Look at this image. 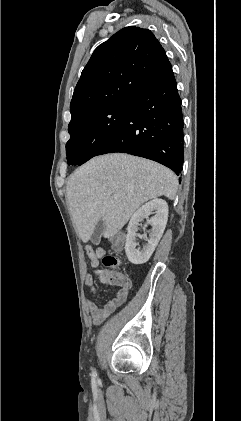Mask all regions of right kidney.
<instances>
[{
    "instance_id": "1",
    "label": "right kidney",
    "mask_w": 241,
    "mask_h": 421,
    "mask_svg": "<svg viewBox=\"0 0 241 421\" xmlns=\"http://www.w3.org/2000/svg\"><path fill=\"white\" fill-rule=\"evenodd\" d=\"M155 211L156 215L149 218L150 214ZM147 219V225L152 226L147 244L142 249L136 248V236L138 226ZM168 220V205L165 200L153 199L142 207H140L131 217L127 227V237L125 244V252L128 260L133 264H143L149 260L154 252L160 238L166 227ZM146 225V226H147Z\"/></svg>"
}]
</instances>
